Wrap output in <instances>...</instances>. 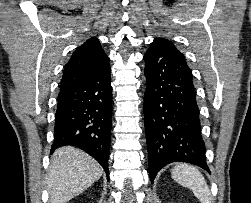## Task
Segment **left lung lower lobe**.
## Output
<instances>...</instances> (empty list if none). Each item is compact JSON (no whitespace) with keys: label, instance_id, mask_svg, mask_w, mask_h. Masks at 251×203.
<instances>
[{"label":"left lung lower lobe","instance_id":"1","mask_svg":"<svg viewBox=\"0 0 251 203\" xmlns=\"http://www.w3.org/2000/svg\"><path fill=\"white\" fill-rule=\"evenodd\" d=\"M147 87L144 118L153 183L162 167L187 162L206 171L205 144L192 73L174 44L154 39L144 55Z\"/></svg>","mask_w":251,"mask_h":203}]
</instances>
